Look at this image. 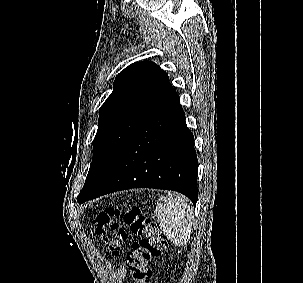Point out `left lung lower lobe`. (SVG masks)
Masks as SVG:
<instances>
[{
	"label": "left lung lower lobe",
	"mask_w": 303,
	"mask_h": 283,
	"mask_svg": "<svg viewBox=\"0 0 303 283\" xmlns=\"http://www.w3.org/2000/svg\"><path fill=\"white\" fill-rule=\"evenodd\" d=\"M198 160L176 91L165 81L127 142L112 172L95 191L78 202L131 188L178 191L197 202Z\"/></svg>",
	"instance_id": "1"
}]
</instances>
